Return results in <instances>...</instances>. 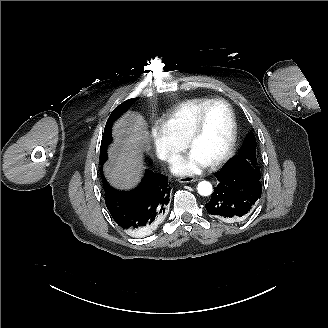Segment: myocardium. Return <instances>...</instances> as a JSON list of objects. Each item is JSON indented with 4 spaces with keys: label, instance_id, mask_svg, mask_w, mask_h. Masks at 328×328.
<instances>
[{
    "label": "myocardium",
    "instance_id": "f54148a6",
    "mask_svg": "<svg viewBox=\"0 0 328 328\" xmlns=\"http://www.w3.org/2000/svg\"><path fill=\"white\" fill-rule=\"evenodd\" d=\"M218 104L225 105L229 110V113L231 116V122H232V134H231V139H230L229 145H228L227 149L225 150V152L220 157H218L217 159H215L214 161L209 163L210 166H212V167H217V166L225 163L226 161H228L231 158V156L234 154L236 146H237L238 122H237L235 110L230 102H228L225 99H221V98L212 99L209 103H207L204 107H202L200 109V111L198 112V114L196 115L194 122L189 129L186 139H185V143H184L187 148H190L191 143L196 139V137L202 130V127H203V124L205 121V117H206L208 111L213 106L218 105Z\"/></svg>",
    "mask_w": 328,
    "mask_h": 328
}]
</instances>
